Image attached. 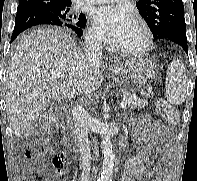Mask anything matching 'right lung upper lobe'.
Instances as JSON below:
<instances>
[{
	"label": "right lung upper lobe",
	"instance_id": "obj_1",
	"mask_svg": "<svg viewBox=\"0 0 197 181\" xmlns=\"http://www.w3.org/2000/svg\"><path fill=\"white\" fill-rule=\"evenodd\" d=\"M20 2H26L35 5H42V4H54V5H70L71 0H20Z\"/></svg>",
	"mask_w": 197,
	"mask_h": 181
}]
</instances>
